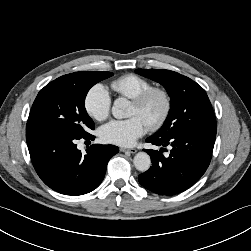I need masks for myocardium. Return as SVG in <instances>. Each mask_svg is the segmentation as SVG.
<instances>
[{"label": "myocardium", "instance_id": "myocardium-1", "mask_svg": "<svg viewBox=\"0 0 251 251\" xmlns=\"http://www.w3.org/2000/svg\"><path fill=\"white\" fill-rule=\"evenodd\" d=\"M155 97L160 98L162 106L159 113L148 123L147 126L150 130L158 129L168 118L171 110V97L169 92L162 87H151L132 99L133 104L140 109H144Z\"/></svg>", "mask_w": 251, "mask_h": 251}]
</instances>
